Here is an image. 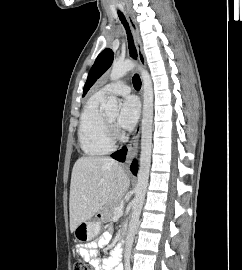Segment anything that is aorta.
<instances>
[{
	"instance_id": "aorta-1",
	"label": "aorta",
	"mask_w": 242,
	"mask_h": 270,
	"mask_svg": "<svg viewBox=\"0 0 242 270\" xmlns=\"http://www.w3.org/2000/svg\"><path fill=\"white\" fill-rule=\"evenodd\" d=\"M133 69H137L139 71L143 82V118L138 182L136 186V194L133 202L132 214L125 243V257L127 259L130 257L134 238L137 233L139 218L143 207L149 179L153 124V85L148 71L132 60L114 62L110 73V79L112 81H117L125 76L128 71ZM104 110L108 114L116 115L118 113L117 97L110 96L104 105Z\"/></svg>"
}]
</instances>
